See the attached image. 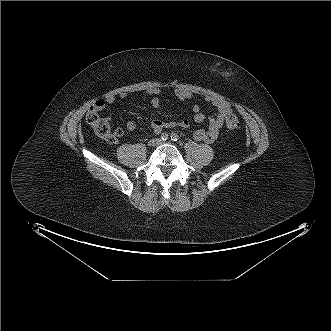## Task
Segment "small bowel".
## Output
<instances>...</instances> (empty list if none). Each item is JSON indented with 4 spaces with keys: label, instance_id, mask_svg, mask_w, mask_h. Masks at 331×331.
Wrapping results in <instances>:
<instances>
[{
    "label": "small bowel",
    "instance_id": "c3829d8e",
    "mask_svg": "<svg viewBox=\"0 0 331 331\" xmlns=\"http://www.w3.org/2000/svg\"><path fill=\"white\" fill-rule=\"evenodd\" d=\"M146 94L151 97L150 99V104L153 108H159L161 105V101L159 99V94L160 90L158 88H149L146 91ZM127 92H121L118 94V96L115 95H107L104 99H98L94 105L91 107L92 111H101L104 109L106 104H111L113 103L116 98L120 99H125L128 97ZM174 95L180 100V101H186L189 100L192 97V93L186 89H175L174 90ZM205 102L210 104L211 106L216 108V113L215 115L211 116L209 118V124L208 128L205 129H197L193 133V138L196 141L200 142H205L207 144H212L216 141L218 138L220 129L222 128L225 118L228 115L232 114V108L231 105L229 104L228 101H226L223 98L217 97V96H206L204 98ZM192 111L194 113V121L197 123H201L205 120V115L201 112V108L199 105H194L192 107ZM108 119L110 120L111 117L109 116ZM175 126H180L182 128H188L190 126V122L188 120H183L180 122H174V121H169V122H164L161 120H153L151 122V129L154 133L159 134L162 132V130L165 127H175ZM126 128L129 131H134L137 128V124L134 121H129L126 124ZM121 133L122 131L118 129Z\"/></svg>",
    "mask_w": 331,
    "mask_h": 331
}]
</instances>
